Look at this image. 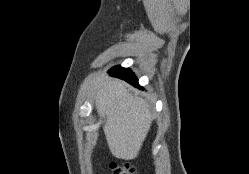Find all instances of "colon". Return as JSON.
I'll return each instance as SVG.
<instances>
[{
    "instance_id": "1",
    "label": "colon",
    "mask_w": 249,
    "mask_h": 174,
    "mask_svg": "<svg viewBox=\"0 0 249 174\" xmlns=\"http://www.w3.org/2000/svg\"><path fill=\"white\" fill-rule=\"evenodd\" d=\"M113 174H136V169L128 163H112Z\"/></svg>"
}]
</instances>
